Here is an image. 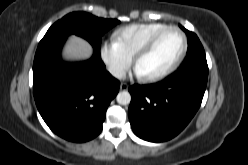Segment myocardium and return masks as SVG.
<instances>
[{"instance_id":"obj_1","label":"myocardium","mask_w":248,"mask_h":165,"mask_svg":"<svg viewBox=\"0 0 248 165\" xmlns=\"http://www.w3.org/2000/svg\"><path fill=\"white\" fill-rule=\"evenodd\" d=\"M172 30L177 31L181 35L182 48H181L179 54L177 55V57L173 60V62L168 67H166L164 70L160 71L159 73L145 76V79L148 81L161 80L164 77H166L167 75H169L170 73H172L178 67V65L183 60V58L187 52V49H188V38H187L185 32L181 28H179L178 26H166L165 28L157 31L152 36H150L149 39L138 49V51L134 55L133 62H134V65L137 66V63L140 60V58H142L144 55H146L153 48V46L156 44V42L159 40V38L162 35H164L166 32L172 31Z\"/></svg>"}]
</instances>
